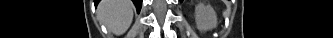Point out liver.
Segmentation results:
<instances>
[{
	"instance_id": "obj_1",
	"label": "liver",
	"mask_w": 333,
	"mask_h": 38,
	"mask_svg": "<svg viewBox=\"0 0 333 38\" xmlns=\"http://www.w3.org/2000/svg\"><path fill=\"white\" fill-rule=\"evenodd\" d=\"M133 10L130 0H103L99 4L98 13L110 30L122 34L132 21Z\"/></svg>"
}]
</instances>
